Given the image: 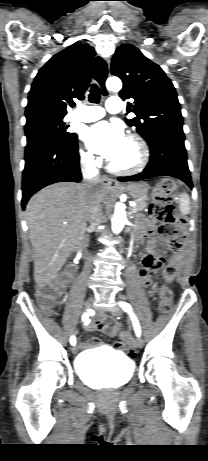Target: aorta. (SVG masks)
I'll list each match as a JSON object with an SVG mask.
<instances>
[{
    "label": "aorta",
    "mask_w": 208,
    "mask_h": 461,
    "mask_svg": "<svg viewBox=\"0 0 208 461\" xmlns=\"http://www.w3.org/2000/svg\"><path fill=\"white\" fill-rule=\"evenodd\" d=\"M106 87L108 90L118 92L122 88V82L117 77H110L106 81ZM126 210L125 205L121 202L116 203L114 215L112 217V231L118 234L122 231L126 223Z\"/></svg>",
    "instance_id": "1"
}]
</instances>
